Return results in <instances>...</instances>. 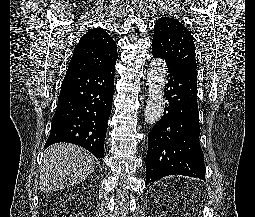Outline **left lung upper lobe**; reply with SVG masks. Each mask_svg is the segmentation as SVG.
I'll list each match as a JSON object with an SVG mask.
<instances>
[{
    "label": "left lung upper lobe",
    "instance_id": "left-lung-upper-lobe-1",
    "mask_svg": "<svg viewBox=\"0 0 255 217\" xmlns=\"http://www.w3.org/2000/svg\"><path fill=\"white\" fill-rule=\"evenodd\" d=\"M152 51L158 52L167 64L191 71L197 76L191 32L177 19L161 17L156 21Z\"/></svg>",
    "mask_w": 255,
    "mask_h": 217
}]
</instances>
